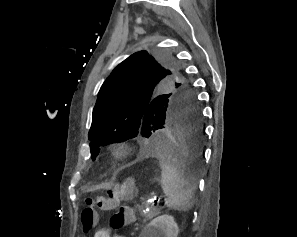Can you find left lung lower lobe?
Segmentation results:
<instances>
[{"mask_svg":"<svg viewBox=\"0 0 297 237\" xmlns=\"http://www.w3.org/2000/svg\"><path fill=\"white\" fill-rule=\"evenodd\" d=\"M165 118V119H164ZM205 132L199 105L176 102L140 151L142 156H164L191 169L199 166Z\"/></svg>","mask_w":297,"mask_h":237,"instance_id":"0a47b994","label":"left lung lower lobe"}]
</instances>
